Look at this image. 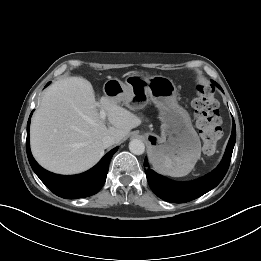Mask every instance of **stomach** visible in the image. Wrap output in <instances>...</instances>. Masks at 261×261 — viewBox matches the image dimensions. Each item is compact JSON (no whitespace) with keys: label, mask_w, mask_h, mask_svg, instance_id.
Here are the masks:
<instances>
[{"label":"stomach","mask_w":261,"mask_h":261,"mask_svg":"<svg viewBox=\"0 0 261 261\" xmlns=\"http://www.w3.org/2000/svg\"><path fill=\"white\" fill-rule=\"evenodd\" d=\"M106 97L123 102L130 109H141L152 101L159 110L161 136L146 133L150 160L156 170L174 177L190 173L201 155L200 138L189 113L178 104L173 81L162 75L133 74L126 83L118 79L105 82Z\"/></svg>","instance_id":"obj_1"}]
</instances>
